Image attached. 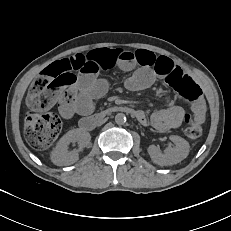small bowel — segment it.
<instances>
[{
    "label": "small bowel",
    "mask_w": 231,
    "mask_h": 231,
    "mask_svg": "<svg viewBox=\"0 0 231 231\" xmlns=\"http://www.w3.org/2000/svg\"><path fill=\"white\" fill-rule=\"evenodd\" d=\"M75 75V83L71 95L58 100V108L64 119H70L75 113L87 114L93 109V101L104 95L108 84L100 78V73L113 67L124 71H133L126 79L125 87L138 91L149 87L155 77L168 81L172 74L185 72L170 58L156 56L148 50L129 51L126 49H97L86 54H75L61 60ZM138 120L142 124H150L158 131H167L179 127L183 121L202 123L205 119V103L202 97L194 100L192 114L188 115L181 107L169 106L154 112L150 121L143 111Z\"/></svg>",
    "instance_id": "1"
}]
</instances>
